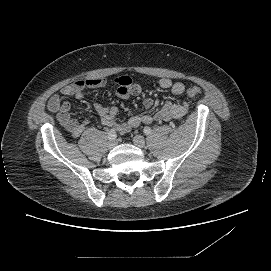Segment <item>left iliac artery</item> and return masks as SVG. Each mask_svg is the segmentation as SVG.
Returning <instances> with one entry per match:
<instances>
[{
  "label": "left iliac artery",
  "mask_w": 271,
  "mask_h": 271,
  "mask_svg": "<svg viewBox=\"0 0 271 271\" xmlns=\"http://www.w3.org/2000/svg\"><path fill=\"white\" fill-rule=\"evenodd\" d=\"M143 132H144L146 135H149V134H151L152 130H151L150 127H145V128L143 129Z\"/></svg>",
  "instance_id": "left-iliac-artery-1"
}]
</instances>
